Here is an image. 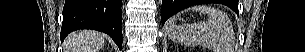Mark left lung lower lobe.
I'll use <instances>...</instances> for the list:
<instances>
[{
  "instance_id": "1",
  "label": "left lung lower lobe",
  "mask_w": 305,
  "mask_h": 52,
  "mask_svg": "<svg viewBox=\"0 0 305 52\" xmlns=\"http://www.w3.org/2000/svg\"><path fill=\"white\" fill-rule=\"evenodd\" d=\"M215 3L214 0H162L161 21L164 25L165 21L172 15L182 10L183 8L204 4ZM231 8V7H230ZM232 9L238 14V1L235 0Z\"/></svg>"
}]
</instances>
